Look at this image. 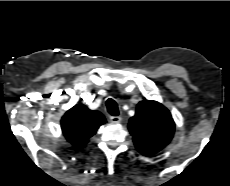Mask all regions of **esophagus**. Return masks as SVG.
<instances>
[{
    "label": "esophagus",
    "mask_w": 230,
    "mask_h": 186,
    "mask_svg": "<svg viewBox=\"0 0 230 186\" xmlns=\"http://www.w3.org/2000/svg\"><path fill=\"white\" fill-rule=\"evenodd\" d=\"M121 120H122V118H121L120 116H111V117H110V121H111L112 123H120Z\"/></svg>",
    "instance_id": "1"
}]
</instances>
